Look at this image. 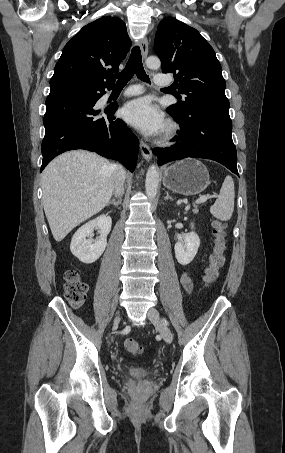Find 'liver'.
<instances>
[{"label": "liver", "instance_id": "1", "mask_svg": "<svg viewBox=\"0 0 285 453\" xmlns=\"http://www.w3.org/2000/svg\"><path fill=\"white\" fill-rule=\"evenodd\" d=\"M115 178L112 163L84 150L61 154L47 165L41 178L42 203L57 242L107 205Z\"/></svg>", "mask_w": 285, "mask_h": 453}]
</instances>
